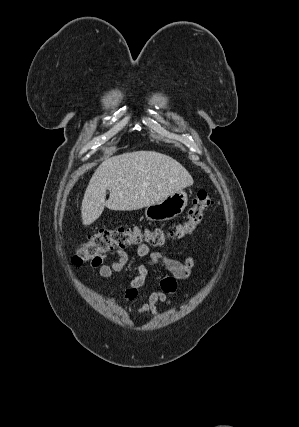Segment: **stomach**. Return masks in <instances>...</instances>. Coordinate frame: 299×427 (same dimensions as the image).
Listing matches in <instances>:
<instances>
[{
	"mask_svg": "<svg viewBox=\"0 0 299 427\" xmlns=\"http://www.w3.org/2000/svg\"><path fill=\"white\" fill-rule=\"evenodd\" d=\"M188 203L187 193L179 190L159 202L146 206L145 216L150 221H167L180 215Z\"/></svg>",
	"mask_w": 299,
	"mask_h": 427,
	"instance_id": "stomach-1",
	"label": "stomach"
}]
</instances>
